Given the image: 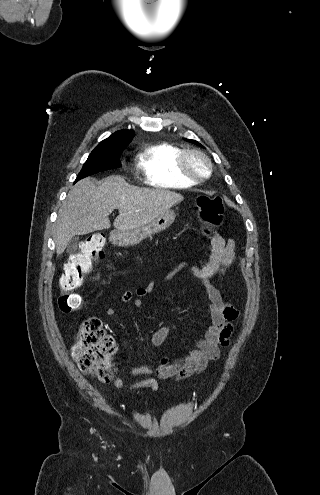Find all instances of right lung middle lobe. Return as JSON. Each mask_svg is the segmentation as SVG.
Returning a JSON list of instances; mask_svg holds the SVG:
<instances>
[{
  "label": "right lung middle lobe",
  "mask_w": 320,
  "mask_h": 495,
  "mask_svg": "<svg viewBox=\"0 0 320 495\" xmlns=\"http://www.w3.org/2000/svg\"><path fill=\"white\" fill-rule=\"evenodd\" d=\"M124 149L125 147H96L84 163L75 182L98 172L120 167V155Z\"/></svg>",
  "instance_id": "1"
}]
</instances>
